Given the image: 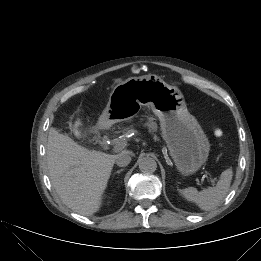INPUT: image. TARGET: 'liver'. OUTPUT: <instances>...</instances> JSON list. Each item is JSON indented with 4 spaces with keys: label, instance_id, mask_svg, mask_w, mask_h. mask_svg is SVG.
<instances>
[{
    "label": "liver",
    "instance_id": "obj_1",
    "mask_svg": "<svg viewBox=\"0 0 261 261\" xmlns=\"http://www.w3.org/2000/svg\"><path fill=\"white\" fill-rule=\"evenodd\" d=\"M116 155L89 150L51 128L47 142L49 177L62 202L81 215L101 205Z\"/></svg>",
    "mask_w": 261,
    "mask_h": 261
}]
</instances>
